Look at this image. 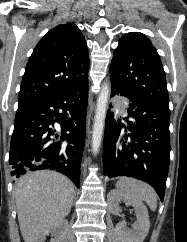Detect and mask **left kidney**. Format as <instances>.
Wrapping results in <instances>:
<instances>
[{
    "mask_svg": "<svg viewBox=\"0 0 187 242\" xmlns=\"http://www.w3.org/2000/svg\"><path fill=\"white\" fill-rule=\"evenodd\" d=\"M121 202L132 206L136 214V221L132 225V230L127 229L124 222L116 225V231L121 242H143L150 227L147 207L142 201L128 197L116 189L108 193V207L111 213L116 215L119 213Z\"/></svg>",
    "mask_w": 187,
    "mask_h": 242,
    "instance_id": "5707ae66",
    "label": "left kidney"
}]
</instances>
